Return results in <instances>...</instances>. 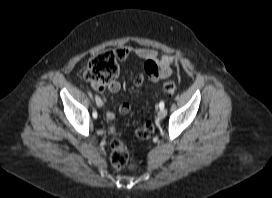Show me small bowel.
I'll list each match as a JSON object with an SVG mask.
<instances>
[{
  "instance_id": "small-bowel-1",
  "label": "small bowel",
  "mask_w": 272,
  "mask_h": 198,
  "mask_svg": "<svg viewBox=\"0 0 272 198\" xmlns=\"http://www.w3.org/2000/svg\"><path fill=\"white\" fill-rule=\"evenodd\" d=\"M118 54L121 56V60H125L131 54H135L138 58L142 60H152L156 62L158 66V75L156 77H149L152 82L157 83L160 79H164L169 77L173 72V65L175 62V58L172 55H163L159 57L157 53L153 50L145 49V48H137L132 50L128 47H121L117 49ZM137 85L138 84L136 80ZM110 92L116 93L121 89V84L118 81H114L108 86ZM99 104L102 105V97H98ZM131 110V105L128 102H123L119 106V111L122 114H127ZM107 120H113L115 118V113L112 111H108L105 114Z\"/></svg>"
}]
</instances>
